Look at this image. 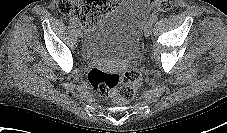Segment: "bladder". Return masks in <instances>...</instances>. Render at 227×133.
<instances>
[{"label": "bladder", "instance_id": "31cf9c89", "mask_svg": "<svg viewBox=\"0 0 227 133\" xmlns=\"http://www.w3.org/2000/svg\"><path fill=\"white\" fill-rule=\"evenodd\" d=\"M149 13V0H122L87 31L81 48L83 58L135 62Z\"/></svg>", "mask_w": 227, "mask_h": 133}]
</instances>
